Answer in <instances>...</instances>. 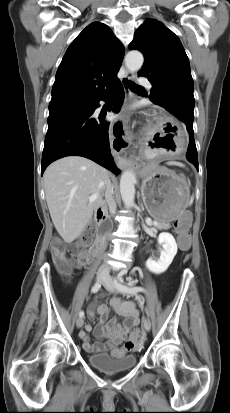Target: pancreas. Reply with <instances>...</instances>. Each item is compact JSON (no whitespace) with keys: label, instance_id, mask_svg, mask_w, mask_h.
I'll return each instance as SVG.
<instances>
[{"label":"pancreas","instance_id":"pancreas-1","mask_svg":"<svg viewBox=\"0 0 230 413\" xmlns=\"http://www.w3.org/2000/svg\"><path fill=\"white\" fill-rule=\"evenodd\" d=\"M155 227L158 229H170L171 225L169 222H158L155 224Z\"/></svg>","mask_w":230,"mask_h":413}]
</instances>
